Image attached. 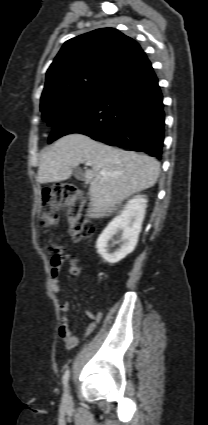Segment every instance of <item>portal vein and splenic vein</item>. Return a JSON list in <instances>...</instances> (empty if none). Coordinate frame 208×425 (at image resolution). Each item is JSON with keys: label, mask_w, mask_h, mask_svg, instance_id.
Masks as SVG:
<instances>
[{"label": "portal vein and splenic vein", "mask_w": 208, "mask_h": 425, "mask_svg": "<svg viewBox=\"0 0 208 425\" xmlns=\"http://www.w3.org/2000/svg\"><path fill=\"white\" fill-rule=\"evenodd\" d=\"M86 165H87V166H91V165H92V163H91V162H86ZM101 173H104V172H101Z\"/></svg>", "instance_id": "obj_1"}]
</instances>
